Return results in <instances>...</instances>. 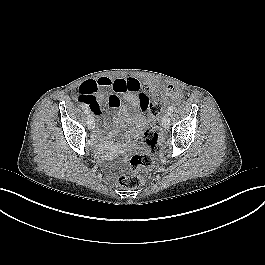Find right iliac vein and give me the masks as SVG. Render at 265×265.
Listing matches in <instances>:
<instances>
[{
	"label": "right iliac vein",
	"instance_id": "right-iliac-vein-1",
	"mask_svg": "<svg viewBox=\"0 0 265 265\" xmlns=\"http://www.w3.org/2000/svg\"><path fill=\"white\" fill-rule=\"evenodd\" d=\"M87 126L90 130L94 128V118L91 114L87 116Z\"/></svg>",
	"mask_w": 265,
	"mask_h": 265
}]
</instances>
